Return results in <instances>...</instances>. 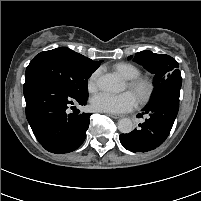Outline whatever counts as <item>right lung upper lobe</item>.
Returning <instances> with one entry per match:
<instances>
[{
  "label": "right lung upper lobe",
  "instance_id": "1",
  "mask_svg": "<svg viewBox=\"0 0 201 201\" xmlns=\"http://www.w3.org/2000/svg\"><path fill=\"white\" fill-rule=\"evenodd\" d=\"M68 49V48H67ZM68 54L69 57L78 65H80L81 67H84L86 69H90L92 71H95L99 66H100V62H94L91 59L76 53L70 49H68Z\"/></svg>",
  "mask_w": 201,
  "mask_h": 201
}]
</instances>
